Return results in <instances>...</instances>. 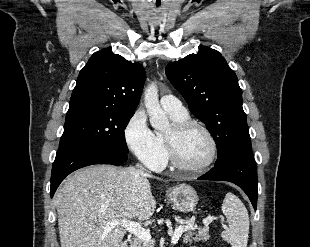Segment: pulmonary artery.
Masks as SVG:
<instances>
[{
  "label": "pulmonary artery",
  "mask_w": 310,
  "mask_h": 247,
  "mask_svg": "<svg viewBox=\"0 0 310 247\" xmlns=\"http://www.w3.org/2000/svg\"><path fill=\"white\" fill-rule=\"evenodd\" d=\"M161 106L167 112L177 115V116H185L187 115V110L181 103V101L176 98L174 95H164L160 100Z\"/></svg>",
  "instance_id": "e3ab8cb5"
}]
</instances>
